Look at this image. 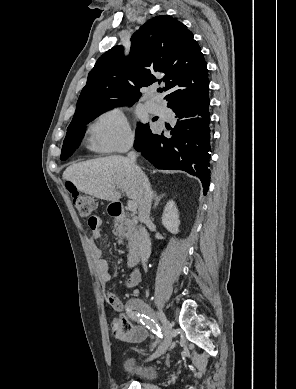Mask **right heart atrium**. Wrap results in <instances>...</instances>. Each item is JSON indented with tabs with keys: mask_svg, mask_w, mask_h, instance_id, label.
<instances>
[{
	"mask_svg": "<svg viewBox=\"0 0 296 389\" xmlns=\"http://www.w3.org/2000/svg\"><path fill=\"white\" fill-rule=\"evenodd\" d=\"M90 142L101 152L123 151L131 146L133 134L124 111L111 107L103 111L92 123Z\"/></svg>",
	"mask_w": 296,
	"mask_h": 389,
	"instance_id": "1",
	"label": "right heart atrium"
}]
</instances>
